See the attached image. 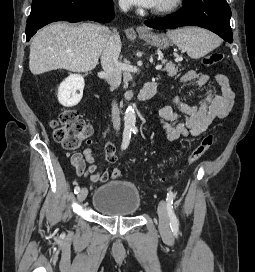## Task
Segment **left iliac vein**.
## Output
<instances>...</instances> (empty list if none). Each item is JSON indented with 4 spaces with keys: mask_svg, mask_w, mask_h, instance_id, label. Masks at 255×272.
Wrapping results in <instances>:
<instances>
[{
    "mask_svg": "<svg viewBox=\"0 0 255 272\" xmlns=\"http://www.w3.org/2000/svg\"><path fill=\"white\" fill-rule=\"evenodd\" d=\"M159 230L161 234L167 238H171L172 232L170 229L169 215L166 207V202L161 200L158 205Z\"/></svg>",
    "mask_w": 255,
    "mask_h": 272,
    "instance_id": "obj_1",
    "label": "left iliac vein"
}]
</instances>
